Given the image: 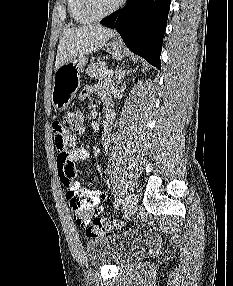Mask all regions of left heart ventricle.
Masks as SVG:
<instances>
[{"instance_id": "left-heart-ventricle-1", "label": "left heart ventricle", "mask_w": 233, "mask_h": 286, "mask_svg": "<svg viewBox=\"0 0 233 286\" xmlns=\"http://www.w3.org/2000/svg\"><path fill=\"white\" fill-rule=\"evenodd\" d=\"M97 7L100 10H107L111 8L118 0H95Z\"/></svg>"}]
</instances>
